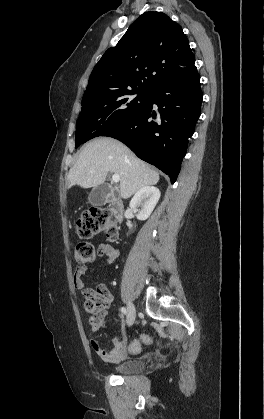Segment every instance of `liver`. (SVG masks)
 <instances>
[{"instance_id": "6515ba94", "label": "liver", "mask_w": 264, "mask_h": 419, "mask_svg": "<svg viewBox=\"0 0 264 419\" xmlns=\"http://www.w3.org/2000/svg\"><path fill=\"white\" fill-rule=\"evenodd\" d=\"M108 173L120 176L119 194L123 199L159 181V173L127 146L113 138L99 137L86 144L80 152L76 164L68 173L67 187L95 188L104 184Z\"/></svg>"}]
</instances>
